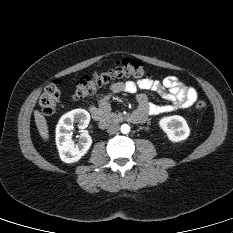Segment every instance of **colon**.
<instances>
[{"label": "colon", "mask_w": 233, "mask_h": 233, "mask_svg": "<svg viewBox=\"0 0 233 233\" xmlns=\"http://www.w3.org/2000/svg\"><path fill=\"white\" fill-rule=\"evenodd\" d=\"M148 76L147 69L140 61L125 58L117 61L112 67L82 77L76 83L73 97L78 100L87 98L112 80L120 78L146 79ZM59 99L60 90L58 84L51 83L47 85L39 99L42 112L48 116L55 114ZM195 106L198 110H203L206 107V102L199 100Z\"/></svg>", "instance_id": "obj_1"}]
</instances>
